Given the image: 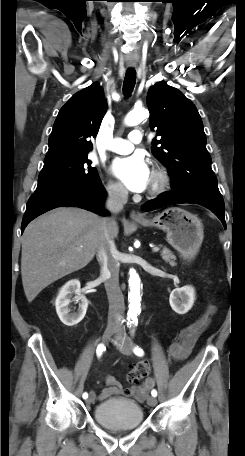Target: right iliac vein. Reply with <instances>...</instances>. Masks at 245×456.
I'll return each instance as SVG.
<instances>
[{
    "mask_svg": "<svg viewBox=\"0 0 245 456\" xmlns=\"http://www.w3.org/2000/svg\"><path fill=\"white\" fill-rule=\"evenodd\" d=\"M116 332H117V329L115 327L106 328V330L102 336V342L107 343L110 340L111 336ZM94 400H95V393L91 392L88 399L86 400V402L88 404H91L94 402Z\"/></svg>",
    "mask_w": 245,
    "mask_h": 456,
    "instance_id": "right-iliac-vein-1",
    "label": "right iliac vein"
}]
</instances>
